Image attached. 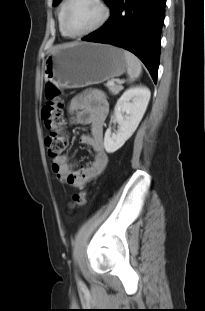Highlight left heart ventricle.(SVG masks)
<instances>
[{"instance_id":"b2bd125f","label":"left heart ventricle","mask_w":205,"mask_h":311,"mask_svg":"<svg viewBox=\"0 0 205 311\" xmlns=\"http://www.w3.org/2000/svg\"><path fill=\"white\" fill-rule=\"evenodd\" d=\"M102 15L93 0H73L67 14V25L71 32L80 33L93 27Z\"/></svg>"}]
</instances>
